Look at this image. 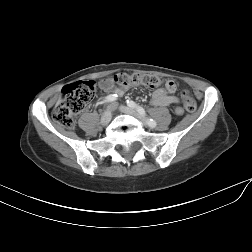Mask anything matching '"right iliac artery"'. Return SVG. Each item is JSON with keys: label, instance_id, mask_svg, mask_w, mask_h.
<instances>
[{"label": "right iliac artery", "instance_id": "right-iliac-artery-1", "mask_svg": "<svg viewBox=\"0 0 252 252\" xmlns=\"http://www.w3.org/2000/svg\"><path fill=\"white\" fill-rule=\"evenodd\" d=\"M117 99V95H109L106 97V99L102 102L103 103H106V102H113Z\"/></svg>", "mask_w": 252, "mask_h": 252}]
</instances>
